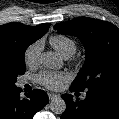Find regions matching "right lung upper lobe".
I'll list each match as a JSON object with an SVG mask.
<instances>
[{"mask_svg":"<svg viewBox=\"0 0 119 119\" xmlns=\"http://www.w3.org/2000/svg\"><path fill=\"white\" fill-rule=\"evenodd\" d=\"M50 24H40L31 27L23 24H5L0 26V55L3 54L8 43L15 39H28L33 42L41 38L48 30ZM15 87L0 84V100H2L8 93L14 90Z\"/></svg>","mask_w":119,"mask_h":119,"instance_id":"1","label":"right lung upper lobe"}]
</instances>
